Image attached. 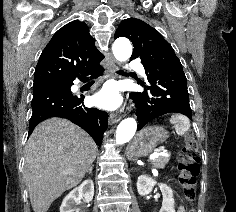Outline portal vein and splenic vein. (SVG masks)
<instances>
[{"label": "portal vein and splenic vein", "mask_w": 236, "mask_h": 212, "mask_svg": "<svg viewBox=\"0 0 236 212\" xmlns=\"http://www.w3.org/2000/svg\"><path fill=\"white\" fill-rule=\"evenodd\" d=\"M166 150L164 148H159L154 151L153 154L150 155V159H154L160 155H164Z\"/></svg>", "instance_id": "obj_1"}]
</instances>
